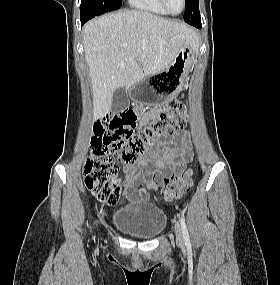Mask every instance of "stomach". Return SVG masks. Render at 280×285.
<instances>
[{"label": "stomach", "mask_w": 280, "mask_h": 285, "mask_svg": "<svg viewBox=\"0 0 280 285\" xmlns=\"http://www.w3.org/2000/svg\"><path fill=\"white\" fill-rule=\"evenodd\" d=\"M194 56L193 47L184 44L164 71L147 76L132 86L133 100L149 105L168 104L183 89Z\"/></svg>", "instance_id": "obj_1"}]
</instances>
